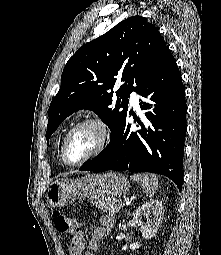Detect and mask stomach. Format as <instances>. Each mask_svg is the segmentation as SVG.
<instances>
[{
	"mask_svg": "<svg viewBox=\"0 0 221 255\" xmlns=\"http://www.w3.org/2000/svg\"><path fill=\"white\" fill-rule=\"evenodd\" d=\"M129 189L130 183L121 173L87 174L79 179L62 178L52 182L46 198L50 206L61 207L75 196L98 201L104 197L125 195Z\"/></svg>",
	"mask_w": 221,
	"mask_h": 255,
	"instance_id": "1",
	"label": "stomach"
}]
</instances>
